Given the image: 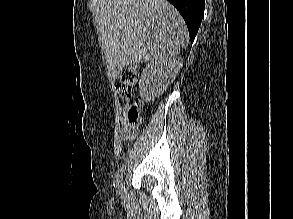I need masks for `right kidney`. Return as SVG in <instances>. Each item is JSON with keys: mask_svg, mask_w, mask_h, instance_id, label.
<instances>
[{"mask_svg": "<svg viewBox=\"0 0 293 219\" xmlns=\"http://www.w3.org/2000/svg\"><path fill=\"white\" fill-rule=\"evenodd\" d=\"M182 65L183 59L177 57H161L148 63L139 82L141 98L150 102L162 95L174 81Z\"/></svg>", "mask_w": 293, "mask_h": 219, "instance_id": "right-kidney-1", "label": "right kidney"}]
</instances>
